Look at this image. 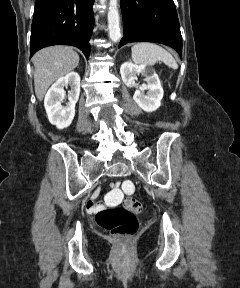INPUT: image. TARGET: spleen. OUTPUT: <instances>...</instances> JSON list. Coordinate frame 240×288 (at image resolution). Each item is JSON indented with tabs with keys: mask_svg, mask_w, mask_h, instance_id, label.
I'll list each match as a JSON object with an SVG mask.
<instances>
[{
	"mask_svg": "<svg viewBox=\"0 0 240 288\" xmlns=\"http://www.w3.org/2000/svg\"><path fill=\"white\" fill-rule=\"evenodd\" d=\"M133 62L141 65H154L157 61H162L172 69H177L178 65L173 56L163 47L149 43H136L131 48Z\"/></svg>",
	"mask_w": 240,
	"mask_h": 288,
	"instance_id": "1",
	"label": "spleen"
}]
</instances>
